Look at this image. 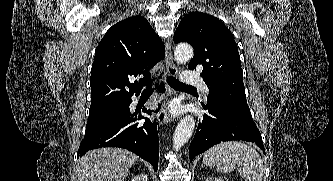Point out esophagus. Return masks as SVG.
<instances>
[{
  "label": "esophagus",
  "mask_w": 333,
  "mask_h": 181,
  "mask_svg": "<svg viewBox=\"0 0 333 181\" xmlns=\"http://www.w3.org/2000/svg\"><path fill=\"white\" fill-rule=\"evenodd\" d=\"M165 59H166V73H165L166 78L168 76L177 75L178 69H177L176 64L173 61L171 41L169 39L166 42ZM167 92H168V94L172 93V89L169 86H167ZM171 120H172V116L168 112L167 106L164 105L158 114L159 124L162 125V124L170 122Z\"/></svg>",
  "instance_id": "esophagus-1"
}]
</instances>
